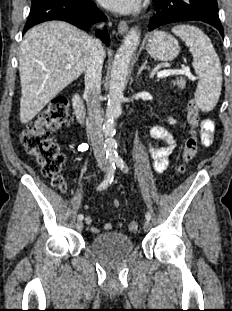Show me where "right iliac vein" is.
<instances>
[{
    "instance_id": "63e3f726",
    "label": "right iliac vein",
    "mask_w": 232,
    "mask_h": 311,
    "mask_svg": "<svg viewBox=\"0 0 232 311\" xmlns=\"http://www.w3.org/2000/svg\"><path fill=\"white\" fill-rule=\"evenodd\" d=\"M83 222L82 221H79L78 223H77V229L79 230V231H81L82 229H83Z\"/></svg>"
}]
</instances>
